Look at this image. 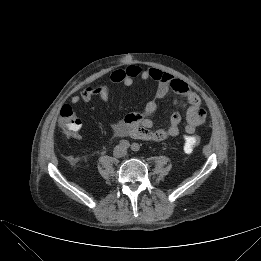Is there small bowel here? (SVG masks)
<instances>
[{
    "label": "small bowel",
    "instance_id": "obj_1",
    "mask_svg": "<svg viewBox=\"0 0 261 261\" xmlns=\"http://www.w3.org/2000/svg\"><path fill=\"white\" fill-rule=\"evenodd\" d=\"M136 78L143 80H154L157 83L155 99L148 101L141 112L127 114L122 121L112 128L113 134L117 137H133L145 141L161 142L168 138L176 137L180 133L182 116L180 112H174L169 119L165 129L153 130V115L157 110L158 99L164 98L170 91L176 93L179 99L176 105L186 107V123L184 130L192 134L202 125L207 117V111L201 105L199 96L193 92L187 83L172 75L156 68L143 69L140 66L130 65L123 69L114 70L109 77L112 84H123L131 86ZM99 98L103 102L109 100V89L106 85L87 86L80 94L71 98L72 104L76 105L89 102ZM80 128V127H79ZM79 138V134L75 135Z\"/></svg>",
    "mask_w": 261,
    "mask_h": 261
}]
</instances>
